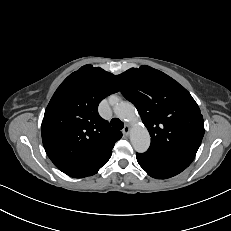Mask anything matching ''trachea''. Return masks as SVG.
Returning <instances> with one entry per match:
<instances>
[{
  "mask_svg": "<svg viewBox=\"0 0 231 231\" xmlns=\"http://www.w3.org/2000/svg\"><path fill=\"white\" fill-rule=\"evenodd\" d=\"M111 125L114 129H118V130L123 129L124 127V123L118 118H113L111 120Z\"/></svg>",
  "mask_w": 231,
  "mask_h": 231,
  "instance_id": "trachea-1",
  "label": "trachea"
}]
</instances>
